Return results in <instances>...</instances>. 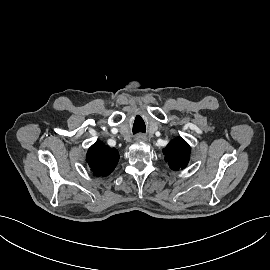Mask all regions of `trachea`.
<instances>
[{
    "mask_svg": "<svg viewBox=\"0 0 270 270\" xmlns=\"http://www.w3.org/2000/svg\"><path fill=\"white\" fill-rule=\"evenodd\" d=\"M137 132H145V128H139L137 130L133 129V133H137Z\"/></svg>",
    "mask_w": 270,
    "mask_h": 270,
    "instance_id": "1",
    "label": "trachea"
}]
</instances>
